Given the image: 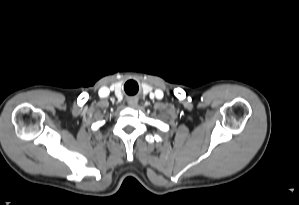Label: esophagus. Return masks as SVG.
<instances>
[{
	"mask_svg": "<svg viewBox=\"0 0 299 205\" xmlns=\"http://www.w3.org/2000/svg\"><path fill=\"white\" fill-rule=\"evenodd\" d=\"M137 103H138V101H137L136 98H129V99H128V105H129L130 107H136Z\"/></svg>",
	"mask_w": 299,
	"mask_h": 205,
	"instance_id": "esophagus-1",
	"label": "esophagus"
}]
</instances>
